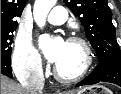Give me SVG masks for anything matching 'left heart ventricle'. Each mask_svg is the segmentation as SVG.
<instances>
[{
    "label": "left heart ventricle",
    "mask_w": 121,
    "mask_h": 94,
    "mask_svg": "<svg viewBox=\"0 0 121 94\" xmlns=\"http://www.w3.org/2000/svg\"><path fill=\"white\" fill-rule=\"evenodd\" d=\"M83 61L82 48L77 44L67 42L61 58L55 65L63 75H72L81 69Z\"/></svg>",
    "instance_id": "left-heart-ventricle-1"
}]
</instances>
